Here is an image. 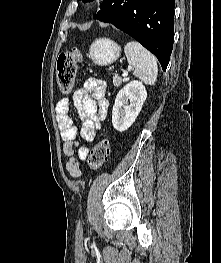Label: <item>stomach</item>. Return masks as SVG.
<instances>
[{
	"label": "stomach",
	"mask_w": 221,
	"mask_h": 263,
	"mask_svg": "<svg viewBox=\"0 0 221 263\" xmlns=\"http://www.w3.org/2000/svg\"><path fill=\"white\" fill-rule=\"evenodd\" d=\"M120 46L107 38L96 39L89 49V58L97 65L106 66L115 62L120 56Z\"/></svg>",
	"instance_id": "1"
}]
</instances>
